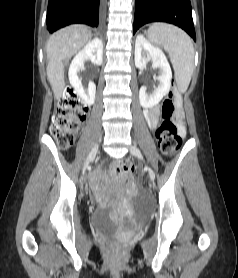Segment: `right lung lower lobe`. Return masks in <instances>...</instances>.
I'll list each match as a JSON object with an SVG mask.
<instances>
[{"label":"right lung lower lobe","mask_w":238,"mask_h":278,"mask_svg":"<svg viewBox=\"0 0 238 278\" xmlns=\"http://www.w3.org/2000/svg\"><path fill=\"white\" fill-rule=\"evenodd\" d=\"M104 0H49L47 29L50 33L70 24L97 27Z\"/></svg>","instance_id":"98d812e1"}]
</instances>
